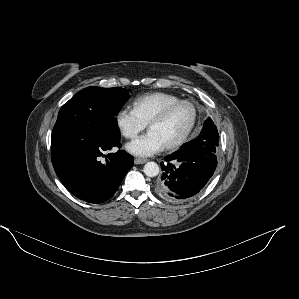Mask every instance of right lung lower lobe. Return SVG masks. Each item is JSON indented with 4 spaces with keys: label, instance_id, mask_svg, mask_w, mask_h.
Returning a JSON list of instances; mask_svg holds the SVG:
<instances>
[{
    "label": "right lung lower lobe",
    "instance_id": "1",
    "mask_svg": "<svg viewBox=\"0 0 299 299\" xmlns=\"http://www.w3.org/2000/svg\"><path fill=\"white\" fill-rule=\"evenodd\" d=\"M121 147L120 139L75 134L51 141V160L62 184L76 197L89 203H102L113 196L133 165L124 150L103 153Z\"/></svg>",
    "mask_w": 299,
    "mask_h": 299
}]
</instances>
